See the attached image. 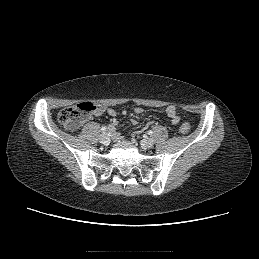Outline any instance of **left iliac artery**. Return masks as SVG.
Returning a JSON list of instances; mask_svg holds the SVG:
<instances>
[{"label":"left iliac artery","instance_id":"44dca946","mask_svg":"<svg viewBox=\"0 0 259 259\" xmlns=\"http://www.w3.org/2000/svg\"><path fill=\"white\" fill-rule=\"evenodd\" d=\"M148 134H149V135H152V134H153V131H152V130H149V131H148Z\"/></svg>","mask_w":259,"mask_h":259}]
</instances>
